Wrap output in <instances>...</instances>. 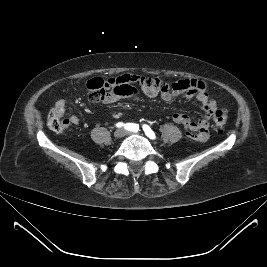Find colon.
Instances as JSON below:
<instances>
[{
    "label": "colon",
    "mask_w": 267,
    "mask_h": 267,
    "mask_svg": "<svg viewBox=\"0 0 267 267\" xmlns=\"http://www.w3.org/2000/svg\"><path fill=\"white\" fill-rule=\"evenodd\" d=\"M179 83L168 84L166 81L150 77V76H136L124 80L123 89L126 93L132 94L141 89L143 92H158L165 88H179ZM213 120L218 130H221L227 120V114L222 109H216L213 113ZM48 127L55 131H62L65 126L53 111L48 115Z\"/></svg>",
    "instance_id": "colon-1"
}]
</instances>
